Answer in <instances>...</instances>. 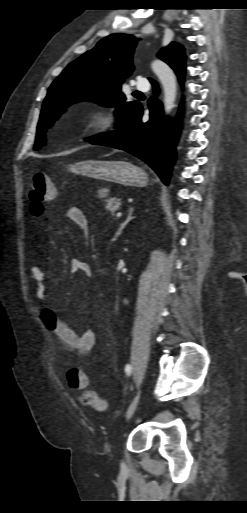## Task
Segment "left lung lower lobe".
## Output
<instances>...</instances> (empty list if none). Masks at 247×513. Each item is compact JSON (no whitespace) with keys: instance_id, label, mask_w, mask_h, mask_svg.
Masks as SVG:
<instances>
[{"instance_id":"0a47b994","label":"left lung lower lobe","mask_w":247,"mask_h":513,"mask_svg":"<svg viewBox=\"0 0 247 513\" xmlns=\"http://www.w3.org/2000/svg\"><path fill=\"white\" fill-rule=\"evenodd\" d=\"M185 62L174 71L183 83ZM155 94L159 93L153 84ZM150 119L142 122L143 108L139 103L134 110L117 125L118 130L93 138L91 144L124 150L146 162L168 184L175 159V143L179 131L180 106L177 120L169 122L163 117L162 104L157 98L148 100Z\"/></svg>"}]
</instances>
